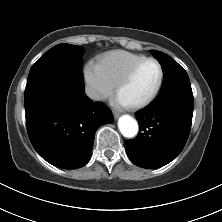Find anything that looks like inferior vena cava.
<instances>
[{
	"instance_id": "602c4592",
	"label": "inferior vena cava",
	"mask_w": 222,
	"mask_h": 222,
	"mask_svg": "<svg viewBox=\"0 0 222 222\" xmlns=\"http://www.w3.org/2000/svg\"><path fill=\"white\" fill-rule=\"evenodd\" d=\"M86 95L89 97V98H91V99H93V100H98V99H100V94L95 90V89H93V88H91V87H86Z\"/></svg>"
}]
</instances>
